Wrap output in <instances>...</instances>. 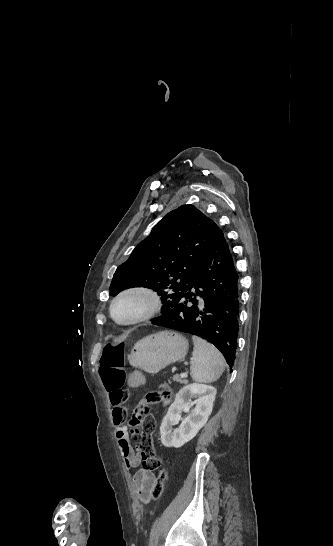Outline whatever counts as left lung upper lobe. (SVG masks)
I'll return each instance as SVG.
<instances>
[{"instance_id": "1", "label": "left lung upper lobe", "mask_w": 333, "mask_h": 546, "mask_svg": "<svg viewBox=\"0 0 333 546\" xmlns=\"http://www.w3.org/2000/svg\"><path fill=\"white\" fill-rule=\"evenodd\" d=\"M218 226L192 205L168 213L139 243L112 279L110 294L147 287L162 296V315L173 307L208 254Z\"/></svg>"}]
</instances>
